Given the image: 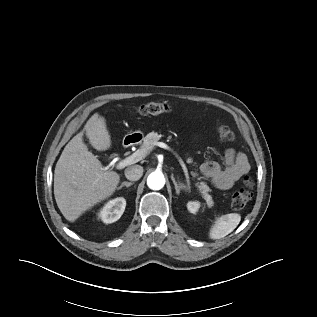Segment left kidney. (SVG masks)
Segmentation results:
<instances>
[{
    "mask_svg": "<svg viewBox=\"0 0 317 317\" xmlns=\"http://www.w3.org/2000/svg\"><path fill=\"white\" fill-rule=\"evenodd\" d=\"M187 208L190 213L195 214L200 208V203L198 201H190L187 203Z\"/></svg>",
    "mask_w": 317,
    "mask_h": 317,
    "instance_id": "obj_1",
    "label": "left kidney"
}]
</instances>
